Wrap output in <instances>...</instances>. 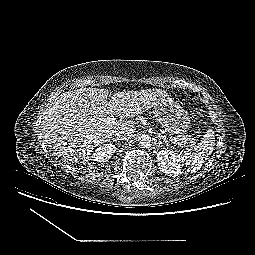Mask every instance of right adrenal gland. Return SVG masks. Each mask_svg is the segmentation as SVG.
<instances>
[{"instance_id": "2a0ac1e0", "label": "right adrenal gland", "mask_w": 255, "mask_h": 255, "mask_svg": "<svg viewBox=\"0 0 255 255\" xmlns=\"http://www.w3.org/2000/svg\"><path fill=\"white\" fill-rule=\"evenodd\" d=\"M112 141L115 142V143H117V144H120V141L117 140V139H115V138H112Z\"/></svg>"}]
</instances>
